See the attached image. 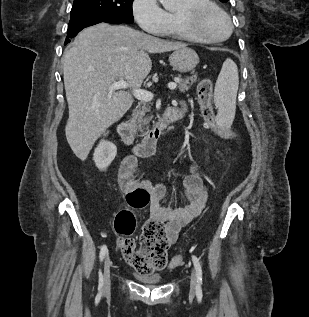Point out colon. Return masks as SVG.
<instances>
[{
  "mask_svg": "<svg viewBox=\"0 0 309 317\" xmlns=\"http://www.w3.org/2000/svg\"><path fill=\"white\" fill-rule=\"evenodd\" d=\"M197 92L203 118L209 127L216 128L211 104V80L202 79L197 86ZM219 132L226 138L236 137L230 129ZM126 201L130 209L121 211L115 220V229L119 235V249L124 259L142 274L162 270L167 265V250L170 245L164 223L150 219L143 225L139 240L135 241L132 238L135 230V217L132 210L145 208L150 201L149 193L144 189H136L127 194ZM181 261L182 258L178 256L172 260V264L177 266Z\"/></svg>",
  "mask_w": 309,
  "mask_h": 317,
  "instance_id": "5ec220e1",
  "label": "colon"
}]
</instances>
